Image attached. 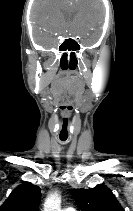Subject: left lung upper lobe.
<instances>
[{
    "mask_svg": "<svg viewBox=\"0 0 133 211\" xmlns=\"http://www.w3.org/2000/svg\"><path fill=\"white\" fill-rule=\"evenodd\" d=\"M81 211H124L112 191L103 185L90 189H72Z\"/></svg>",
    "mask_w": 133,
    "mask_h": 211,
    "instance_id": "1",
    "label": "left lung upper lobe"
}]
</instances>
